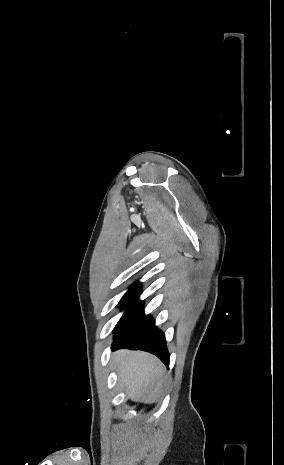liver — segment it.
<instances>
[{
    "instance_id": "liver-1",
    "label": "liver",
    "mask_w": 284,
    "mask_h": 465,
    "mask_svg": "<svg viewBox=\"0 0 284 465\" xmlns=\"http://www.w3.org/2000/svg\"><path fill=\"white\" fill-rule=\"evenodd\" d=\"M114 361L130 399L155 403L165 373L162 363L153 355L141 351H117Z\"/></svg>"
}]
</instances>
